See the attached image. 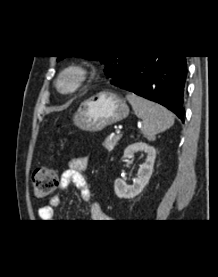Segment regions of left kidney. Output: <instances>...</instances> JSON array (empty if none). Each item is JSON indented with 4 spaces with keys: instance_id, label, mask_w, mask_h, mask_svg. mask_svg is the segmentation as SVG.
Masks as SVG:
<instances>
[{
    "instance_id": "5707ae66",
    "label": "left kidney",
    "mask_w": 218,
    "mask_h": 277,
    "mask_svg": "<svg viewBox=\"0 0 218 277\" xmlns=\"http://www.w3.org/2000/svg\"><path fill=\"white\" fill-rule=\"evenodd\" d=\"M137 152L146 153V160L140 165L138 178L134 181L133 185H127L121 178L115 180L114 191L119 198H134L139 195L148 184L152 175L156 158L155 148L144 142H137L129 145L124 150L123 158H132Z\"/></svg>"
}]
</instances>
